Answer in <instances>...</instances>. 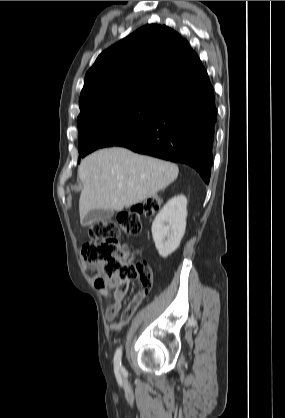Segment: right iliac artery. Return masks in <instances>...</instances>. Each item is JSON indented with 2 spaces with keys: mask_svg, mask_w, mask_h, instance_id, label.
<instances>
[{
  "mask_svg": "<svg viewBox=\"0 0 285 418\" xmlns=\"http://www.w3.org/2000/svg\"><path fill=\"white\" fill-rule=\"evenodd\" d=\"M121 358H122V349L118 348L114 355V370L116 374H118L119 371L121 372L125 371L121 363Z\"/></svg>",
  "mask_w": 285,
  "mask_h": 418,
  "instance_id": "82829eb1",
  "label": "right iliac artery"
}]
</instances>
